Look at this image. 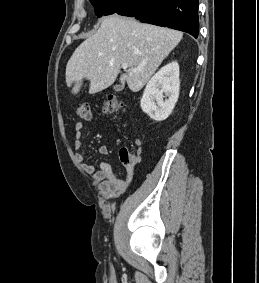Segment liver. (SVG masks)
<instances>
[{
    "mask_svg": "<svg viewBox=\"0 0 259 283\" xmlns=\"http://www.w3.org/2000/svg\"><path fill=\"white\" fill-rule=\"evenodd\" d=\"M183 33L174 29L143 24L135 19L111 15L98 31L82 42L66 66V82L74 84L77 94L84 79L90 81L89 94L98 93L114 83L122 64L138 72L121 73L123 85L130 90L143 88L162 61L181 41Z\"/></svg>",
    "mask_w": 259,
    "mask_h": 283,
    "instance_id": "obj_1",
    "label": "liver"
}]
</instances>
